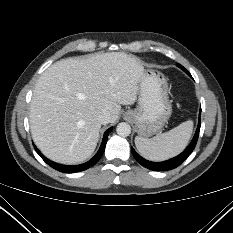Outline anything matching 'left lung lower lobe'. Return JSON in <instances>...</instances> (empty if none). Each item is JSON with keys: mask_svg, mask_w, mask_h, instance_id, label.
Segmentation results:
<instances>
[{"mask_svg": "<svg viewBox=\"0 0 233 233\" xmlns=\"http://www.w3.org/2000/svg\"><path fill=\"white\" fill-rule=\"evenodd\" d=\"M188 73V72H187ZM189 74V73H188ZM200 115H201V110L199 113V123L197 126V130L196 133L192 139V142L188 145V147L178 156L163 161V162H151L148 161L144 158H142L133 148H132V154L135 157V159L145 168L150 169V170H154V171H167V170H171L174 169L176 167H178L180 164H182L185 159L192 153V151L194 150L197 140H198V136H199V131H200Z\"/></svg>", "mask_w": 233, "mask_h": 233, "instance_id": "obj_1", "label": "left lung lower lobe"}]
</instances>
